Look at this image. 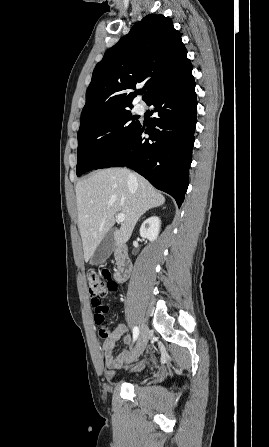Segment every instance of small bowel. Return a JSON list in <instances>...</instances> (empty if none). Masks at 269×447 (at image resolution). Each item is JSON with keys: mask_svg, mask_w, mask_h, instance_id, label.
I'll list each match as a JSON object with an SVG mask.
<instances>
[{"mask_svg": "<svg viewBox=\"0 0 269 447\" xmlns=\"http://www.w3.org/2000/svg\"><path fill=\"white\" fill-rule=\"evenodd\" d=\"M127 332V325L123 322H118L110 334V341L103 344L104 363L108 369H116L129 356V352H121L117 356L113 355V346L115 341L122 340L125 344L132 343V337Z\"/></svg>", "mask_w": 269, "mask_h": 447, "instance_id": "obj_1", "label": "small bowel"}]
</instances>
